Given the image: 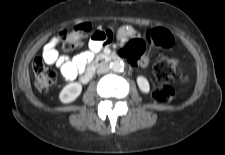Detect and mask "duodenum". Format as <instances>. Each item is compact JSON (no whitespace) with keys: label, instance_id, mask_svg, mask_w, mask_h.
<instances>
[{"label":"duodenum","instance_id":"duodenum-1","mask_svg":"<svg viewBox=\"0 0 225 155\" xmlns=\"http://www.w3.org/2000/svg\"><path fill=\"white\" fill-rule=\"evenodd\" d=\"M119 58H120V56L115 53H106V54H102V55L98 56L95 59V61L87 68L85 73L82 75L81 81L83 83L89 82L91 80V78L93 77L97 67H99L103 64L109 63L111 61L117 60Z\"/></svg>","mask_w":225,"mask_h":155}]
</instances>
